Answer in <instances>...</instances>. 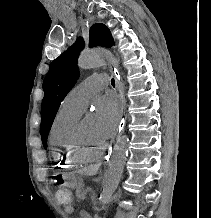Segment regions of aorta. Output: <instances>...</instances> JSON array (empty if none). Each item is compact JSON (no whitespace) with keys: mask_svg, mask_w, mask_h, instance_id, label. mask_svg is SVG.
<instances>
[{"mask_svg":"<svg viewBox=\"0 0 211 218\" xmlns=\"http://www.w3.org/2000/svg\"><path fill=\"white\" fill-rule=\"evenodd\" d=\"M105 62L117 65L119 60L108 51L93 49L80 55L78 66L80 69H90L101 66ZM128 142L126 135L119 137L109 157L108 169L103 179V191L100 195V201L103 204L109 202L118 187L126 162Z\"/></svg>","mask_w":211,"mask_h":218,"instance_id":"1","label":"aorta"}]
</instances>
